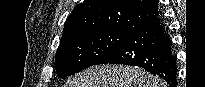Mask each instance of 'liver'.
Masks as SVG:
<instances>
[{
    "instance_id": "1",
    "label": "liver",
    "mask_w": 205,
    "mask_h": 87,
    "mask_svg": "<svg viewBox=\"0 0 205 87\" xmlns=\"http://www.w3.org/2000/svg\"><path fill=\"white\" fill-rule=\"evenodd\" d=\"M66 87H163V82L141 69L106 64L75 74Z\"/></svg>"
}]
</instances>
